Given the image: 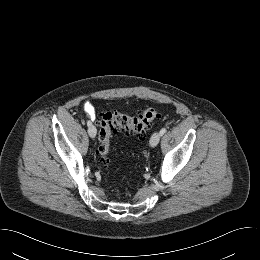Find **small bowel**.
Here are the masks:
<instances>
[{
    "label": "small bowel",
    "instance_id": "small-bowel-1",
    "mask_svg": "<svg viewBox=\"0 0 260 260\" xmlns=\"http://www.w3.org/2000/svg\"><path fill=\"white\" fill-rule=\"evenodd\" d=\"M83 110L91 119L96 118V110L91 102H85L83 105Z\"/></svg>",
    "mask_w": 260,
    "mask_h": 260
}]
</instances>
